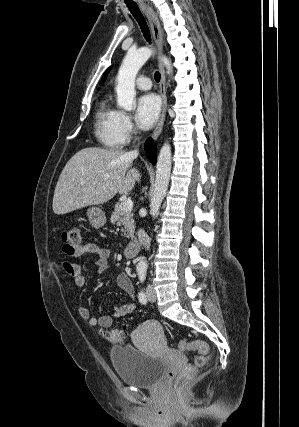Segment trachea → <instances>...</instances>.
Masks as SVG:
<instances>
[{
    "label": "trachea",
    "mask_w": 299,
    "mask_h": 427,
    "mask_svg": "<svg viewBox=\"0 0 299 427\" xmlns=\"http://www.w3.org/2000/svg\"><path fill=\"white\" fill-rule=\"evenodd\" d=\"M127 7L129 9V11L131 12V14L133 15V17L138 22V24L141 28V31L143 33V36L145 37L147 42L151 43V37H150V31H149L148 25L145 21V18L142 15L141 11L139 10L137 4H127ZM160 77H161L160 73L155 72L154 78H155L156 82L160 81Z\"/></svg>",
    "instance_id": "obj_1"
}]
</instances>
